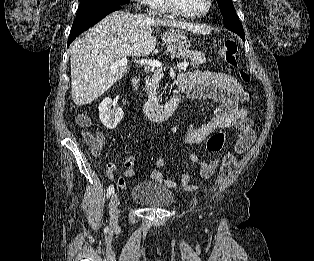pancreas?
Here are the masks:
<instances>
[{
  "label": "pancreas",
  "mask_w": 314,
  "mask_h": 261,
  "mask_svg": "<svg viewBox=\"0 0 314 261\" xmlns=\"http://www.w3.org/2000/svg\"><path fill=\"white\" fill-rule=\"evenodd\" d=\"M167 52L170 53L171 57L174 58H189L190 59V65L192 67H198L200 65H203L206 63V56L205 54L199 52V51H189V50H184L181 48H177L173 45H169ZM163 76V71L162 69H158L153 73L152 78H148L146 80V90L147 94L150 97V100L156 101V92L155 90L159 88V81L161 80Z\"/></svg>",
  "instance_id": "cf45deb5"
}]
</instances>
